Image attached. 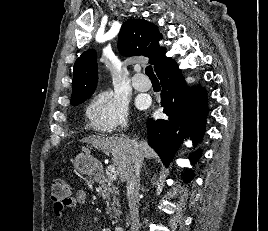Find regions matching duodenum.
I'll return each instance as SVG.
<instances>
[{
	"label": "duodenum",
	"mask_w": 268,
	"mask_h": 231,
	"mask_svg": "<svg viewBox=\"0 0 268 231\" xmlns=\"http://www.w3.org/2000/svg\"><path fill=\"white\" fill-rule=\"evenodd\" d=\"M97 178L104 182L105 181V177L102 174H97ZM114 231H124V229L122 227H116Z\"/></svg>",
	"instance_id": "410a0bca"
}]
</instances>
